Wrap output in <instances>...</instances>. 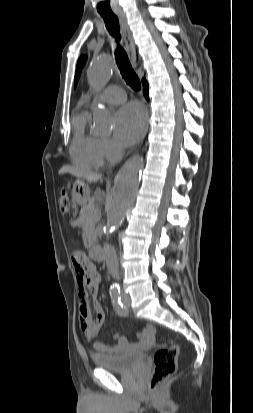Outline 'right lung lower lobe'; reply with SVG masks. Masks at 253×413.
<instances>
[{"label": "right lung lower lobe", "instance_id": "1", "mask_svg": "<svg viewBox=\"0 0 253 413\" xmlns=\"http://www.w3.org/2000/svg\"><path fill=\"white\" fill-rule=\"evenodd\" d=\"M142 84H143V92L145 97L148 99V83L145 79L142 80Z\"/></svg>", "mask_w": 253, "mask_h": 413}]
</instances>
